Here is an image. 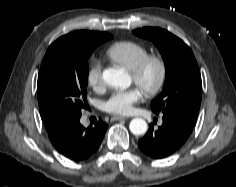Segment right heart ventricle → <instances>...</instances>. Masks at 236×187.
Instances as JSON below:
<instances>
[{
  "mask_svg": "<svg viewBox=\"0 0 236 187\" xmlns=\"http://www.w3.org/2000/svg\"><path fill=\"white\" fill-rule=\"evenodd\" d=\"M105 54L111 62L131 70L142 58L148 55V50L140 43L122 40L111 44Z\"/></svg>",
  "mask_w": 236,
  "mask_h": 187,
  "instance_id": "e07e8e85",
  "label": "right heart ventricle"
}]
</instances>
